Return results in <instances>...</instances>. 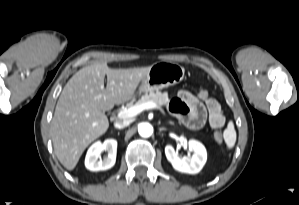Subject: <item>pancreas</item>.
Here are the masks:
<instances>
[{"mask_svg": "<svg viewBox=\"0 0 299 205\" xmlns=\"http://www.w3.org/2000/svg\"><path fill=\"white\" fill-rule=\"evenodd\" d=\"M169 101L168 93L167 92H150L149 94L143 95L137 102L136 105L143 104L146 102H154L160 106H166ZM132 106V104H129Z\"/></svg>", "mask_w": 299, "mask_h": 205, "instance_id": "obj_1", "label": "pancreas"}]
</instances>
